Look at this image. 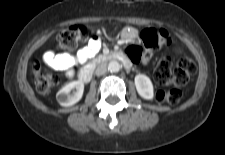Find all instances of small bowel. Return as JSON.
<instances>
[{
	"label": "small bowel",
	"mask_w": 225,
	"mask_h": 155,
	"mask_svg": "<svg viewBox=\"0 0 225 155\" xmlns=\"http://www.w3.org/2000/svg\"><path fill=\"white\" fill-rule=\"evenodd\" d=\"M124 37L129 41H133L137 37V32L135 30H127L124 33ZM101 46L102 43L100 38L98 36H94L89 40L85 47L77 52L76 56H72L68 53L56 54L55 52L48 50L43 54V60L48 66L56 70L71 73L74 66L82 64L89 58L93 57L101 49ZM143 55L144 58L142 62L147 63L151 58V52L145 51Z\"/></svg>",
	"instance_id": "obj_1"
}]
</instances>
